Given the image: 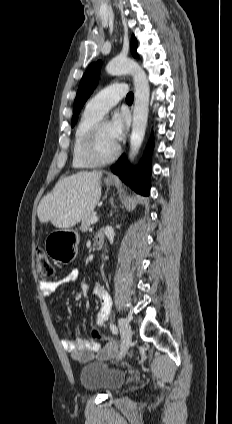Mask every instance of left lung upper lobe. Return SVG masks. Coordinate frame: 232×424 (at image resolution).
I'll list each match as a JSON object with an SVG mask.
<instances>
[{
	"mask_svg": "<svg viewBox=\"0 0 232 424\" xmlns=\"http://www.w3.org/2000/svg\"><path fill=\"white\" fill-rule=\"evenodd\" d=\"M137 49V40L132 36L131 40V53L134 57H137L138 54L136 52ZM100 67H101V61H98L96 63L90 64L87 71L83 75L77 95L74 101V107H73V117H72V127L75 125L77 121V115L79 114L82 106L90 96V94L93 92L94 88L97 85L99 74H100Z\"/></svg>",
	"mask_w": 232,
	"mask_h": 424,
	"instance_id": "obj_1",
	"label": "left lung upper lobe"
}]
</instances>
